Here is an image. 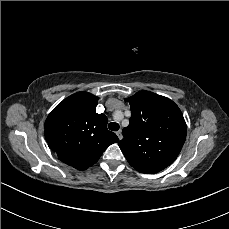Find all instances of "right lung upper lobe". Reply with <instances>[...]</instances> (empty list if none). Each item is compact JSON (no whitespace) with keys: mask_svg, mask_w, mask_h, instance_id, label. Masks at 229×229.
<instances>
[{"mask_svg":"<svg viewBox=\"0 0 229 229\" xmlns=\"http://www.w3.org/2000/svg\"><path fill=\"white\" fill-rule=\"evenodd\" d=\"M98 97L77 92L64 99L48 115L45 136L48 146L65 164L86 170L107 147L119 141L107 129V117L96 113Z\"/></svg>","mask_w":229,"mask_h":229,"instance_id":"1","label":"right lung upper lobe"}]
</instances>
